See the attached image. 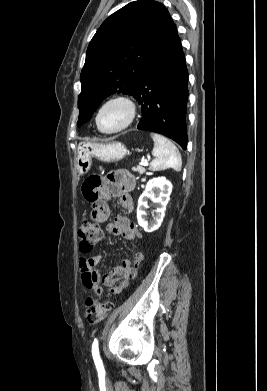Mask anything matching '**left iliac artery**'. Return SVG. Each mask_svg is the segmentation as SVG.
I'll return each instance as SVG.
<instances>
[{
  "label": "left iliac artery",
  "mask_w": 267,
  "mask_h": 391,
  "mask_svg": "<svg viewBox=\"0 0 267 391\" xmlns=\"http://www.w3.org/2000/svg\"><path fill=\"white\" fill-rule=\"evenodd\" d=\"M92 355H93V359H94V362H95V365L97 367V370L100 372V371H103V365H102V361H101V358H100V355H99V350H98V340H94L93 344H92Z\"/></svg>",
  "instance_id": "obj_1"
}]
</instances>
